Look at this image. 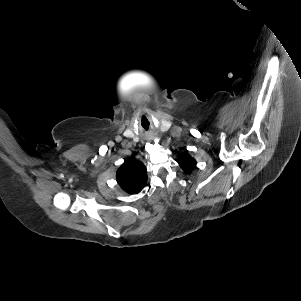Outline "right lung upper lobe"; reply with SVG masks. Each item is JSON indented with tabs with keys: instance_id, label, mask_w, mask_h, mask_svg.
I'll return each instance as SVG.
<instances>
[{
	"instance_id": "1",
	"label": "right lung upper lobe",
	"mask_w": 301,
	"mask_h": 301,
	"mask_svg": "<svg viewBox=\"0 0 301 301\" xmlns=\"http://www.w3.org/2000/svg\"><path fill=\"white\" fill-rule=\"evenodd\" d=\"M118 184L130 194L139 193L147 183V172L143 163L125 160L116 174Z\"/></svg>"
}]
</instances>
